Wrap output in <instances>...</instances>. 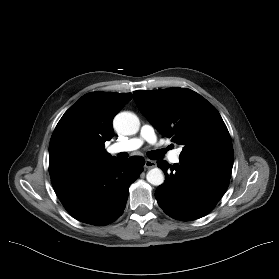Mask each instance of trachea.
I'll use <instances>...</instances> for the list:
<instances>
[{
    "mask_svg": "<svg viewBox=\"0 0 279 279\" xmlns=\"http://www.w3.org/2000/svg\"><path fill=\"white\" fill-rule=\"evenodd\" d=\"M164 155V150H156L148 153L149 158L156 160Z\"/></svg>",
    "mask_w": 279,
    "mask_h": 279,
    "instance_id": "obj_1",
    "label": "trachea"
}]
</instances>
